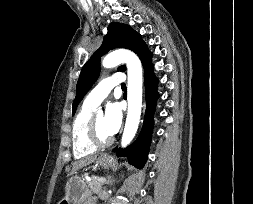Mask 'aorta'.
<instances>
[{
    "mask_svg": "<svg viewBox=\"0 0 253 204\" xmlns=\"http://www.w3.org/2000/svg\"><path fill=\"white\" fill-rule=\"evenodd\" d=\"M126 63L128 70L127 101L128 113L121 146L126 147L134 138L138 129L142 107V66L132 51L120 49L108 54L102 61L105 68ZM101 114V111H98Z\"/></svg>",
    "mask_w": 253,
    "mask_h": 204,
    "instance_id": "762f6f07",
    "label": "aorta"
}]
</instances>
